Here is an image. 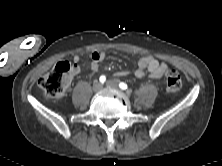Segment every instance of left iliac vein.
I'll list each match as a JSON object with an SVG mask.
<instances>
[{
	"instance_id": "1",
	"label": "left iliac vein",
	"mask_w": 222,
	"mask_h": 166,
	"mask_svg": "<svg viewBox=\"0 0 222 166\" xmlns=\"http://www.w3.org/2000/svg\"><path fill=\"white\" fill-rule=\"evenodd\" d=\"M106 86L111 88H118V82L117 80H108L106 82Z\"/></svg>"
}]
</instances>
